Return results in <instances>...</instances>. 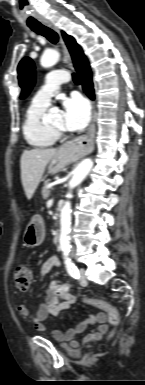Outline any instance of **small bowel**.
<instances>
[{
  "label": "small bowel",
  "mask_w": 145,
  "mask_h": 385,
  "mask_svg": "<svg viewBox=\"0 0 145 385\" xmlns=\"http://www.w3.org/2000/svg\"><path fill=\"white\" fill-rule=\"evenodd\" d=\"M59 266V259L56 256H52L41 265L39 273L41 276H45L53 268ZM57 284L63 285L64 291L62 293H59L56 290ZM75 302L76 297L72 294L69 285L61 282H53L46 291L45 301L39 305L36 313H33L25 304H20L18 306V312L22 317L31 320L39 332L44 333L47 330L45 324L46 319L49 316L58 315ZM89 326H93V329L88 333H85L80 340H76L75 337L79 334H83ZM107 330L108 325L106 322V315L104 313H96L87 315L82 321L65 333L60 330H53L52 336L57 341H67L70 342L72 347H77L81 343H88L92 340L100 339Z\"/></svg>",
  "instance_id": "small-bowel-1"
}]
</instances>
